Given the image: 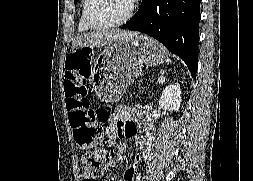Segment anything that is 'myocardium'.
<instances>
[{"mask_svg":"<svg viewBox=\"0 0 253 181\" xmlns=\"http://www.w3.org/2000/svg\"><path fill=\"white\" fill-rule=\"evenodd\" d=\"M136 0L131 1V7L128 13L123 17L121 20L113 22V23H97L93 20L91 16V9L95 2V0H87L85 9H84V20L85 23L92 29L102 30V29H112L120 27L126 24L131 18L134 16L135 9H136Z\"/></svg>","mask_w":253,"mask_h":181,"instance_id":"myocardium-1","label":"myocardium"}]
</instances>
